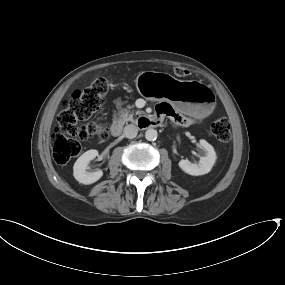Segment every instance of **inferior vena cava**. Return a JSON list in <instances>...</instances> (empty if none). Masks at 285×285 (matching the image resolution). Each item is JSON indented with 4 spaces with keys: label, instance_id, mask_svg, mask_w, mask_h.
I'll list each match as a JSON object with an SVG mask.
<instances>
[{
    "label": "inferior vena cava",
    "instance_id": "inferior-vena-cava-1",
    "mask_svg": "<svg viewBox=\"0 0 285 285\" xmlns=\"http://www.w3.org/2000/svg\"><path fill=\"white\" fill-rule=\"evenodd\" d=\"M123 133L126 138L132 139L137 136L138 128L133 124H129L125 126Z\"/></svg>",
    "mask_w": 285,
    "mask_h": 285
}]
</instances>
